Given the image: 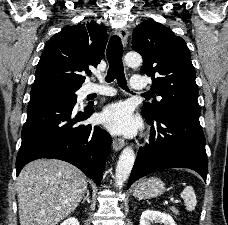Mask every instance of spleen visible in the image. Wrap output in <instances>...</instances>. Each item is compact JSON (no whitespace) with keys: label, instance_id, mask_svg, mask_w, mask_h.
<instances>
[{"label":"spleen","instance_id":"3e777b00","mask_svg":"<svg viewBox=\"0 0 228 225\" xmlns=\"http://www.w3.org/2000/svg\"><path fill=\"white\" fill-rule=\"evenodd\" d=\"M181 197L185 203L187 211H194L197 205V199L193 187H185L184 191L181 193Z\"/></svg>","mask_w":228,"mask_h":225}]
</instances>
